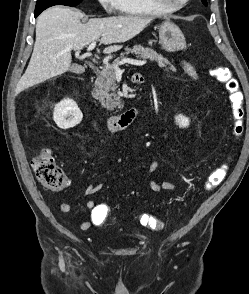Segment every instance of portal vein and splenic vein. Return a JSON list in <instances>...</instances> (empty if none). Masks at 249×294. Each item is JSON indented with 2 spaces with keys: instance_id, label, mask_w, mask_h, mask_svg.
<instances>
[{
  "instance_id": "obj_1",
  "label": "portal vein and splenic vein",
  "mask_w": 249,
  "mask_h": 294,
  "mask_svg": "<svg viewBox=\"0 0 249 294\" xmlns=\"http://www.w3.org/2000/svg\"><path fill=\"white\" fill-rule=\"evenodd\" d=\"M96 46V41H92V43L89 45V47L87 48V51H91L92 49H94ZM131 64V65H137V66H141L146 64V61H141V60H133V59H124L122 61H120L119 64L114 66V70L116 74H122V70L119 68V65L122 64Z\"/></svg>"
}]
</instances>
